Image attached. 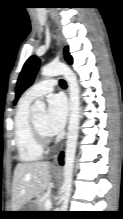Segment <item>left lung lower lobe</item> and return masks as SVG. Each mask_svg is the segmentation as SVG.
Listing matches in <instances>:
<instances>
[{"mask_svg": "<svg viewBox=\"0 0 123 219\" xmlns=\"http://www.w3.org/2000/svg\"><path fill=\"white\" fill-rule=\"evenodd\" d=\"M59 161H60V164H63V153H61V155L59 156Z\"/></svg>", "mask_w": 123, "mask_h": 219, "instance_id": "left-lung-lower-lobe-1", "label": "left lung lower lobe"}]
</instances>
